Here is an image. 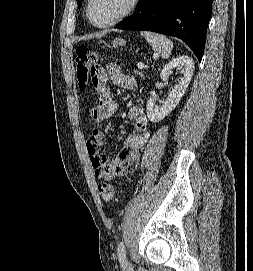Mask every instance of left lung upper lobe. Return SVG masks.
<instances>
[{"label":"left lung upper lobe","instance_id":"5c2ea615","mask_svg":"<svg viewBox=\"0 0 253 271\" xmlns=\"http://www.w3.org/2000/svg\"><path fill=\"white\" fill-rule=\"evenodd\" d=\"M77 3H78V8H80L82 4V0H77Z\"/></svg>","mask_w":253,"mask_h":271}]
</instances>
